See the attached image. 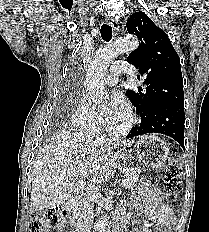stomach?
<instances>
[{
	"label": "stomach",
	"mask_w": 209,
	"mask_h": 232,
	"mask_svg": "<svg viewBox=\"0 0 209 232\" xmlns=\"http://www.w3.org/2000/svg\"><path fill=\"white\" fill-rule=\"evenodd\" d=\"M134 149L137 159L144 165L154 169L163 168L169 156L167 143L155 135L140 137L136 141Z\"/></svg>",
	"instance_id": "obj_1"
}]
</instances>
